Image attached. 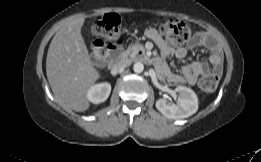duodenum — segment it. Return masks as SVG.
<instances>
[{
	"instance_id": "1",
	"label": "duodenum",
	"mask_w": 261,
	"mask_h": 162,
	"mask_svg": "<svg viewBox=\"0 0 261 162\" xmlns=\"http://www.w3.org/2000/svg\"><path fill=\"white\" fill-rule=\"evenodd\" d=\"M107 57H109L111 64H115L117 61L122 59L121 56V41L118 43L112 42L108 45Z\"/></svg>"
}]
</instances>
